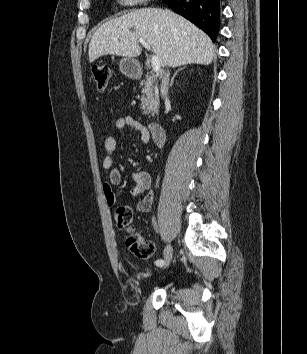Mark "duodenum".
Segmentation results:
<instances>
[{"mask_svg":"<svg viewBox=\"0 0 307 354\" xmlns=\"http://www.w3.org/2000/svg\"><path fill=\"white\" fill-rule=\"evenodd\" d=\"M148 129L156 145H163L166 141L165 129L158 123L151 122L148 124Z\"/></svg>","mask_w":307,"mask_h":354,"instance_id":"410a0bca","label":"duodenum"}]
</instances>
